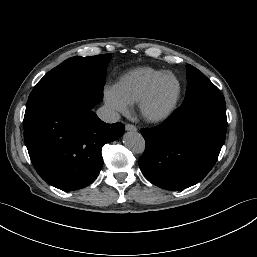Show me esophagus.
I'll return each mask as SVG.
<instances>
[{
  "label": "esophagus",
  "mask_w": 257,
  "mask_h": 257,
  "mask_svg": "<svg viewBox=\"0 0 257 257\" xmlns=\"http://www.w3.org/2000/svg\"><path fill=\"white\" fill-rule=\"evenodd\" d=\"M125 129H126V131H137L136 126L133 124H130V123L125 125Z\"/></svg>",
  "instance_id": "obj_1"
}]
</instances>
